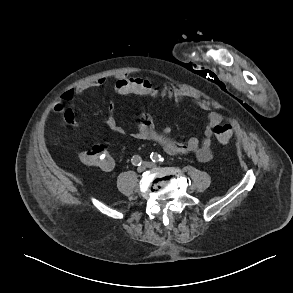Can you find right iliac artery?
Returning a JSON list of instances; mask_svg holds the SVG:
<instances>
[{
  "instance_id": "right-iliac-artery-1",
  "label": "right iliac artery",
  "mask_w": 293,
  "mask_h": 293,
  "mask_svg": "<svg viewBox=\"0 0 293 293\" xmlns=\"http://www.w3.org/2000/svg\"><path fill=\"white\" fill-rule=\"evenodd\" d=\"M131 162L134 166H140L142 164V158L139 155H134Z\"/></svg>"
}]
</instances>
